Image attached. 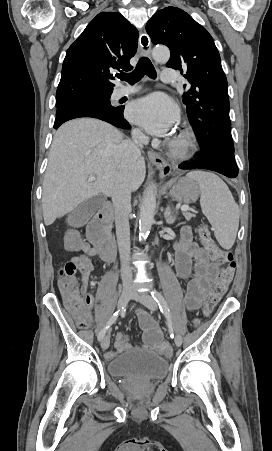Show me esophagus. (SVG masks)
Returning a JSON list of instances; mask_svg holds the SVG:
<instances>
[{
    "instance_id": "esophagus-1",
    "label": "esophagus",
    "mask_w": 272,
    "mask_h": 451,
    "mask_svg": "<svg viewBox=\"0 0 272 451\" xmlns=\"http://www.w3.org/2000/svg\"><path fill=\"white\" fill-rule=\"evenodd\" d=\"M140 49L143 55L150 56L151 45L150 38L146 33H141L139 37ZM148 158L150 162L155 165L162 176H167L171 172V166L168 162L154 151H148Z\"/></svg>"
}]
</instances>
